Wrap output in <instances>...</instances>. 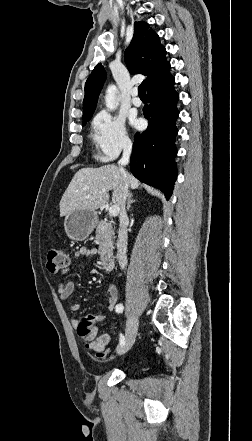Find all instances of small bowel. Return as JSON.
I'll list each match as a JSON object with an SVG mask.
<instances>
[{
  "label": "small bowel",
  "instance_id": "c3829d8e",
  "mask_svg": "<svg viewBox=\"0 0 252 441\" xmlns=\"http://www.w3.org/2000/svg\"><path fill=\"white\" fill-rule=\"evenodd\" d=\"M96 254V250L93 248L83 247L75 253V258L79 259L82 256H93ZM77 262L70 264L65 268L63 274H66L70 269L76 266ZM58 293L61 299H67L71 296L74 291V282L72 280L65 281L62 277L58 281ZM118 301V291L115 285L111 284L108 287V296L106 299L105 308L107 311L116 310ZM81 308V303L76 302L70 306L72 311H77ZM77 323H75L76 325ZM112 336L109 334L97 335L96 326L93 327L90 334L85 338L88 342L89 348L96 354L106 350L107 345L110 343Z\"/></svg>",
  "mask_w": 252,
  "mask_h": 441
}]
</instances>
